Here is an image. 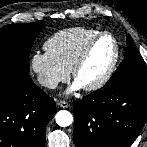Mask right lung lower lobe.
<instances>
[{
	"label": "right lung lower lobe",
	"mask_w": 147,
	"mask_h": 147,
	"mask_svg": "<svg viewBox=\"0 0 147 147\" xmlns=\"http://www.w3.org/2000/svg\"><path fill=\"white\" fill-rule=\"evenodd\" d=\"M56 104L28 72L0 64V147H43Z\"/></svg>",
	"instance_id": "obj_1"
}]
</instances>
